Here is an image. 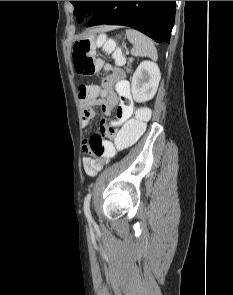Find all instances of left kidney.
I'll use <instances>...</instances> for the list:
<instances>
[{
	"mask_svg": "<svg viewBox=\"0 0 233 295\" xmlns=\"http://www.w3.org/2000/svg\"><path fill=\"white\" fill-rule=\"evenodd\" d=\"M160 79V69L155 62H141L132 77L133 99L140 103L151 100L156 94Z\"/></svg>",
	"mask_w": 233,
	"mask_h": 295,
	"instance_id": "left-kidney-1",
	"label": "left kidney"
}]
</instances>
